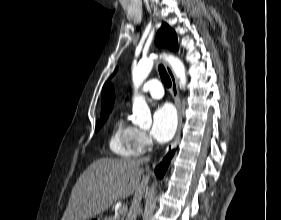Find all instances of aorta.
<instances>
[{"label": "aorta", "instance_id": "762f6f07", "mask_svg": "<svg viewBox=\"0 0 281 220\" xmlns=\"http://www.w3.org/2000/svg\"><path fill=\"white\" fill-rule=\"evenodd\" d=\"M155 58L156 56L144 58L132 69L134 85L132 122L140 127H149L152 122L150 109L145 98L138 93V89L151 72ZM161 58L170 64L174 74L179 79L180 87L184 88L186 85V71L183 62L173 55H163Z\"/></svg>", "mask_w": 281, "mask_h": 220}]
</instances>
